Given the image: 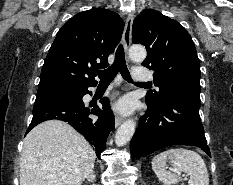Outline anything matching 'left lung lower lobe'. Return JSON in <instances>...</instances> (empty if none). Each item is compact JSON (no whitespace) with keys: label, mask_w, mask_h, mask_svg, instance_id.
<instances>
[{"label":"left lung lower lobe","mask_w":233,"mask_h":185,"mask_svg":"<svg viewBox=\"0 0 233 185\" xmlns=\"http://www.w3.org/2000/svg\"><path fill=\"white\" fill-rule=\"evenodd\" d=\"M199 94L200 89L183 88L159 107L147 104L130 143L132 159L171 145L201 147L211 157L199 116Z\"/></svg>","instance_id":"0a47b994"}]
</instances>
